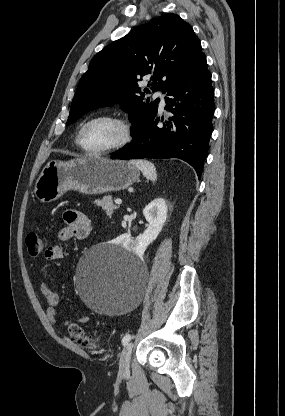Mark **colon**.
<instances>
[{"label":"colon","instance_id":"colon-1","mask_svg":"<svg viewBox=\"0 0 285 416\" xmlns=\"http://www.w3.org/2000/svg\"><path fill=\"white\" fill-rule=\"evenodd\" d=\"M45 247L43 238L37 233H30L26 237V248L30 258H37ZM68 333L72 340L75 342L93 347L96 345V341L88 336L83 328L77 323H71L68 326Z\"/></svg>","mask_w":285,"mask_h":416}]
</instances>
